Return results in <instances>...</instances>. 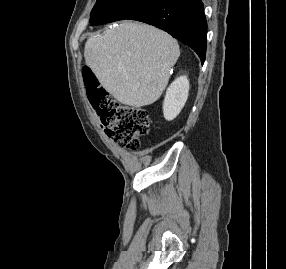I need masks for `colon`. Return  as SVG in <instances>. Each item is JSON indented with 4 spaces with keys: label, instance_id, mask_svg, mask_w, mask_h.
<instances>
[{
    "label": "colon",
    "instance_id": "5ec220e1",
    "mask_svg": "<svg viewBox=\"0 0 286 269\" xmlns=\"http://www.w3.org/2000/svg\"><path fill=\"white\" fill-rule=\"evenodd\" d=\"M86 91L91 106L114 142L132 150L139 149L138 136L149 133L150 117L142 108H131L115 102L91 75L86 76Z\"/></svg>",
    "mask_w": 286,
    "mask_h": 269
}]
</instances>
